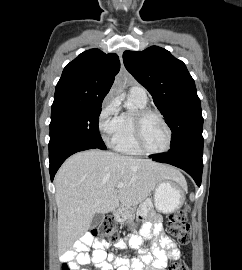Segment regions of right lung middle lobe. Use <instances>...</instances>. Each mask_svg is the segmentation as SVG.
I'll return each mask as SVG.
<instances>
[{"instance_id":"1","label":"right lung middle lobe","mask_w":242,"mask_h":270,"mask_svg":"<svg viewBox=\"0 0 242 270\" xmlns=\"http://www.w3.org/2000/svg\"><path fill=\"white\" fill-rule=\"evenodd\" d=\"M101 104L52 106L49 154L69 144L106 148L98 129Z\"/></svg>"}]
</instances>
